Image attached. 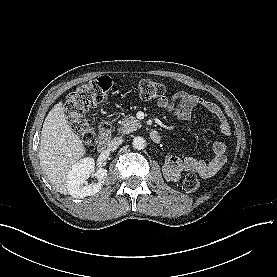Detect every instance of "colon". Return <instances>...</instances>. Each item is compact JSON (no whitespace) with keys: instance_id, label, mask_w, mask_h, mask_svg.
I'll list each match as a JSON object with an SVG mask.
<instances>
[{"instance_id":"5ec220e1","label":"colon","mask_w":277,"mask_h":277,"mask_svg":"<svg viewBox=\"0 0 277 277\" xmlns=\"http://www.w3.org/2000/svg\"><path fill=\"white\" fill-rule=\"evenodd\" d=\"M112 87V80L103 76L95 81L77 88L67 97L66 110L72 128L81 136L87 144L95 141L93 131L85 118V113L102 102ZM143 98H164L167 88L164 84L153 80H142L138 87ZM198 181L193 175H188L183 183L185 192L191 193L197 189Z\"/></svg>"}]
</instances>
